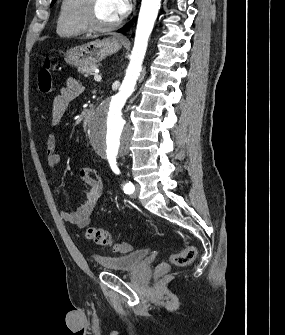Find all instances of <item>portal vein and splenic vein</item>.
<instances>
[{
    "label": "portal vein and splenic vein",
    "mask_w": 285,
    "mask_h": 335,
    "mask_svg": "<svg viewBox=\"0 0 285 335\" xmlns=\"http://www.w3.org/2000/svg\"><path fill=\"white\" fill-rule=\"evenodd\" d=\"M94 72H95V76H94L95 82H101L102 78L101 76H98L99 70H94Z\"/></svg>",
    "instance_id": "18ae733b"
}]
</instances>
